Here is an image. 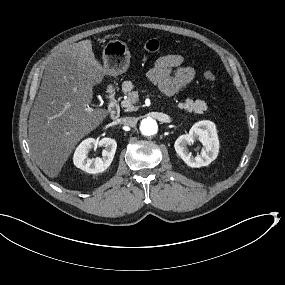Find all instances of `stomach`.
Listing matches in <instances>:
<instances>
[{"mask_svg": "<svg viewBox=\"0 0 285 285\" xmlns=\"http://www.w3.org/2000/svg\"><path fill=\"white\" fill-rule=\"evenodd\" d=\"M130 57L128 45L122 40H110L103 47L104 68L110 75L125 72L130 65Z\"/></svg>", "mask_w": 285, "mask_h": 285, "instance_id": "stomach-1", "label": "stomach"}]
</instances>
